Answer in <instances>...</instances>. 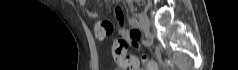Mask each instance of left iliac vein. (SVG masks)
Instances as JSON below:
<instances>
[{"instance_id": "left-iliac-vein-1", "label": "left iliac vein", "mask_w": 238, "mask_h": 70, "mask_svg": "<svg viewBox=\"0 0 238 70\" xmlns=\"http://www.w3.org/2000/svg\"><path fill=\"white\" fill-rule=\"evenodd\" d=\"M138 22L139 27L144 31H146L150 26V21L145 13H140L138 15Z\"/></svg>"}]
</instances>
